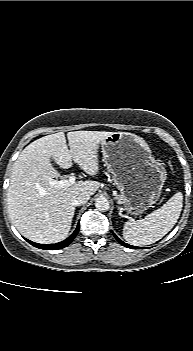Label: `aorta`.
Instances as JSON below:
<instances>
[{"instance_id": "aorta-1", "label": "aorta", "mask_w": 193, "mask_h": 351, "mask_svg": "<svg viewBox=\"0 0 193 351\" xmlns=\"http://www.w3.org/2000/svg\"><path fill=\"white\" fill-rule=\"evenodd\" d=\"M95 207L99 211H106L109 209V201L104 196H99L95 201Z\"/></svg>"}]
</instances>
